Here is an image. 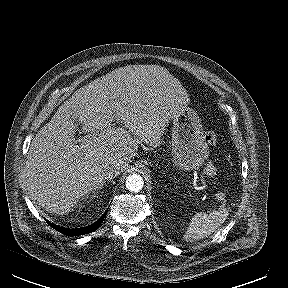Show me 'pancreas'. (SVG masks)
<instances>
[{
  "instance_id": "cf45deb5",
  "label": "pancreas",
  "mask_w": 288,
  "mask_h": 288,
  "mask_svg": "<svg viewBox=\"0 0 288 288\" xmlns=\"http://www.w3.org/2000/svg\"><path fill=\"white\" fill-rule=\"evenodd\" d=\"M213 170H214V164L210 161L207 163L205 171H206V173H210Z\"/></svg>"
}]
</instances>
